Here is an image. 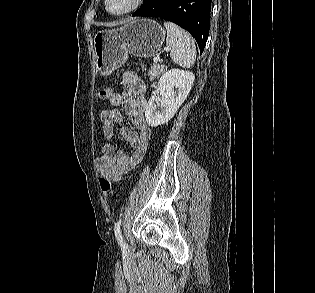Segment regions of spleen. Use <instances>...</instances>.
<instances>
[{
	"label": "spleen",
	"mask_w": 315,
	"mask_h": 293,
	"mask_svg": "<svg viewBox=\"0 0 315 293\" xmlns=\"http://www.w3.org/2000/svg\"><path fill=\"white\" fill-rule=\"evenodd\" d=\"M164 26L167 30L166 42L170 51V59L184 68L193 66L196 59V46L193 38L172 22L165 21Z\"/></svg>",
	"instance_id": "3e777b00"
}]
</instances>
